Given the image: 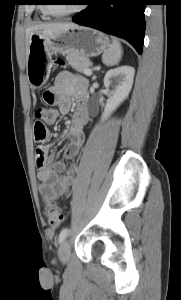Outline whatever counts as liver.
Listing matches in <instances>:
<instances>
[{
    "mask_svg": "<svg viewBox=\"0 0 181 300\" xmlns=\"http://www.w3.org/2000/svg\"><path fill=\"white\" fill-rule=\"evenodd\" d=\"M76 26L74 23H40L28 28L26 31V59L28 57L30 38L33 34L54 36Z\"/></svg>",
    "mask_w": 181,
    "mask_h": 300,
    "instance_id": "1",
    "label": "liver"
}]
</instances>
